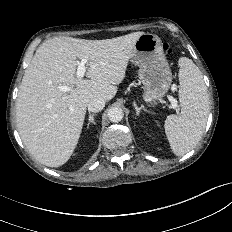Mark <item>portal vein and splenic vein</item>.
<instances>
[{"instance_id":"18ae733b","label":"portal vein and splenic vein","mask_w":232,"mask_h":232,"mask_svg":"<svg viewBox=\"0 0 232 232\" xmlns=\"http://www.w3.org/2000/svg\"><path fill=\"white\" fill-rule=\"evenodd\" d=\"M86 63H87V59H82L81 61H77L76 76L78 78L84 77L86 70H87V67L85 66ZM59 89L60 91L67 92L70 90V87L62 85V86H59ZM169 100L171 102L172 107L176 109L178 107L177 101L173 97H169Z\"/></svg>"}]
</instances>
